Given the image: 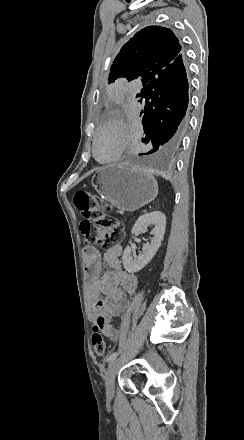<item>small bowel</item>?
I'll use <instances>...</instances> for the list:
<instances>
[{
  "label": "small bowel",
  "mask_w": 244,
  "mask_h": 440,
  "mask_svg": "<svg viewBox=\"0 0 244 440\" xmlns=\"http://www.w3.org/2000/svg\"><path fill=\"white\" fill-rule=\"evenodd\" d=\"M122 253L121 244H114L103 253L90 246L83 252L88 280V301L93 307L99 296L103 295L102 332L112 342L117 341L119 337L114 318L132 310V299L138 288L137 276L122 266Z\"/></svg>",
  "instance_id": "1"
}]
</instances>
